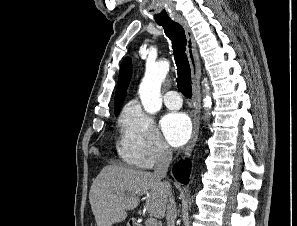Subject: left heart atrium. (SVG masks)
Returning <instances> with one entry per match:
<instances>
[{"label":"left heart atrium","instance_id":"obj_1","mask_svg":"<svg viewBox=\"0 0 297 226\" xmlns=\"http://www.w3.org/2000/svg\"><path fill=\"white\" fill-rule=\"evenodd\" d=\"M160 125L166 140L172 146H181L190 137L191 123L184 113H168L162 118Z\"/></svg>","mask_w":297,"mask_h":226}]
</instances>
